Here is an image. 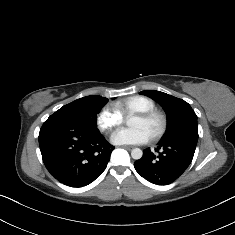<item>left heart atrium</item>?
I'll use <instances>...</instances> for the list:
<instances>
[{
    "label": "left heart atrium",
    "mask_w": 235,
    "mask_h": 235,
    "mask_svg": "<svg viewBox=\"0 0 235 235\" xmlns=\"http://www.w3.org/2000/svg\"><path fill=\"white\" fill-rule=\"evenodd\" d=\"M110 139L116 145H134L147 143L150 136L142 128H132L119 129L111 135Z\"/></svg>",
    "instance_id": "left-heart-atrium-1"
}]
</instances>
